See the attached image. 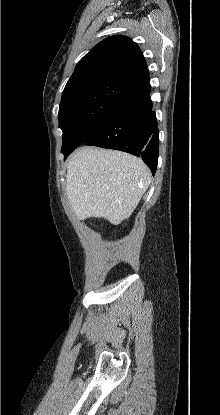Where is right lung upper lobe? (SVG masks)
I'll list each match as a JSON object with an SVG mask.
<instances>
[{
	"mask_svg": "<svg viewBox=\"0 0 220 415\" xmlns=\"http://www.w3.org/2000/svg\"><path fill=\"white\" fill-rule=\"evenodd\" d=\"M106 77L121 79L139 88L150 81L143 54L129 37L116 35L98 43L78 62L65 88Z\"/></svg>",
	"mask_w": 220,
	"mask_h": 415,
	"instance_id": "obj_1",
	"label": "right lung upper lobe"
}]
</instances>
